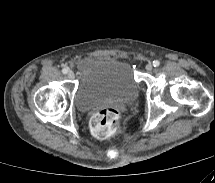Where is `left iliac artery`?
Returning a JSON list of instances; mask_svg holds the SVG:
<instances>
[{
	"label": "left iliac artery",
	"mask_w": 215,
	"mask_h": 183,
	"mask_svg": "<svg viewBox=\"0 0 215 183\" xmlns=\"http://www.w3.org/2000/svg\"><path fill=\"white\" fill-rule=\"evenodd\" d=\"M160 65V62L158 60L153 61V66L158 67Z\"/></svg>",
	"instance_id": "1"
}]
</instances>
